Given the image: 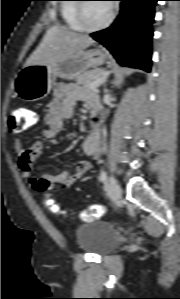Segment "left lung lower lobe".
Wrapping results in <instances>:
<instances>
[{"mask_svg":"<svg viewBox=\"0 0 180 299\" xmlns=\"http://www.w3.org/2000/svg\"><path fill=\"white\" fill-rule=\"evenodd\" d=\"M121 10L107 29L91 34L123 66L151 69L154 7L158 0H120Z\"/></svg>","mask_w":180,"mask_h":299,"instance_id":"1","label":"left lung lower lobe"}]
</instances>
